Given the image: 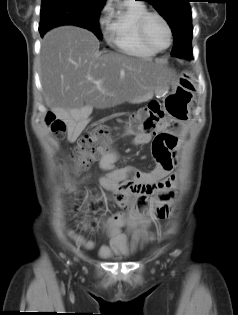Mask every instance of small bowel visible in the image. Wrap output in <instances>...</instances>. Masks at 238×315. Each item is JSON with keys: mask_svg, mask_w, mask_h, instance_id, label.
<instances>
[{"mask_svg": "<svg viewBox=\"0 0 238 315\" xmlns=\"http://www.w3.org/2000/svg\"><path fill=\"white\" fill-rule=\"evenodd\" d=\"M87 124L86 120H76L69 123V140L76 139L78 134ZM152 147L153 156L157 166L150 172L139 171L132 166L117 168L115 162L120 158L119 151L105 152L100 158V166L106 171L101 177V183L113 189L117 202L126 210L114 216L107 234L110 244L100 248V255L108 258L114 254H129L142 247L154 238V235L143 229L136 230L129 240L121 231L124 226H146V221H138V217L130 213L132 196L139 195L136 207H144L147 195L157 190L169 189L176 181L175 175H170L171 170L177 165L176 147H181V140H175L169 134L160 133L155 137L151 133H140L133 137L131 144L135 146L147 144ZM89 175H83L81 181H86ZM167 208L157 210L158 217H165ZM71 238L80 246L88 249L94 247V242L87 241L80 235L69 232Z\"/></svg>", "mask_w": 238, "mask_h": 315, "instance_id": "1", "label": "small bowel"}]
</instances>
